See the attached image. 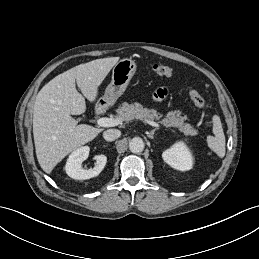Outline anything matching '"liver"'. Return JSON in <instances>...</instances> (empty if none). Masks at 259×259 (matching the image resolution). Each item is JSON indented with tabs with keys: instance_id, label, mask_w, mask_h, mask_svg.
I'll return each instance as SVG.
<instances>
[{
	"instance_id": "obj_1",
	"label": "liver",
	"mask_w": 259,
	"mask_h": 259,
	"mask_svg": "<svg viewBox=\"0 0 259 259\" xmlns=\"http://www.w3.org/2000/svg\"><path fill=\"white\" fill-rule=\"evenodd\" d=\"M119 57L96 59L75 66L49 81L38 93L33 111V135L38 162L46 173L70 152L92 141L101 131L78 124L71 115L86 111ZM82 94L76 89V84Z\"/></svg>"
}]
</instances>
